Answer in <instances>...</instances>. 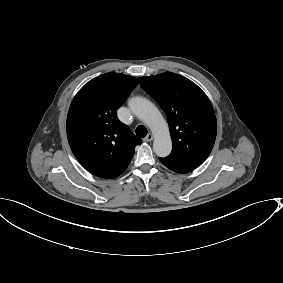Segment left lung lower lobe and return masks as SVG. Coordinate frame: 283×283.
<instances>
[{"label":"left lung lower lobe","instance_id":"1","mask_svg":"<svg viewBox=\"0 0 283 283\" xmlns=\"http://www.w3.org/2000/svg\"><path fill=\"white\" fill-rule=\"evenodd\" d=\"M159 159L167 168H169L172 171L177 172V173H187V172H190L194 169V168H191V167H188V166H185V165H181V164H178V163L171 162V161L167 160L166 158H159Z\"/></svg>","mask_w":283,"mask_h":283}]
</instances>
